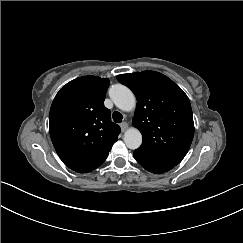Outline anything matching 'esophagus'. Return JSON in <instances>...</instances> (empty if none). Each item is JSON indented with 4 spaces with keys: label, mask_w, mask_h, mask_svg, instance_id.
I'll list each match as a JSON object with an SVG mask.
<instances>
[{
    "label": "esophagus",
    "mask_w": 243,
    "mask_h": 243,
    "mask_svg": "<svg viewBox=\"0 0 243 243\" xmlns=\"http://www.w3.org/2000/svg\"><path fill=\"white\" fill-rule=\"evenodd\" d=\"M121 131L124 132L128 128V124L126 122H123L120 124Z\"/></svg>",
    "instance_id": "34e87169"
}]
</instances>
